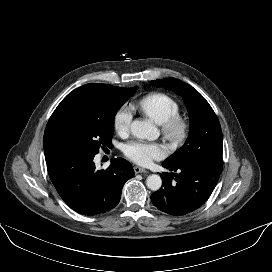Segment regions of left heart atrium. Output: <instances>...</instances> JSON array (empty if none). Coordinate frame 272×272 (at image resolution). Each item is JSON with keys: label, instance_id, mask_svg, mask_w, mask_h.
<instances>
[{"label": "left heart atrium", "instance_id": "39dd6f15", "mask_svg": "<svg viewBox=\"0 0 272 272\" xmlns=\"http://www.w3.org/2000/svg\"><path fill=\"white\" fill-rule=\"evenodd\" d=\"M123 152L127 158L139 165H149L164 157L165 149L158 143L134 141L126 144Z\"/></svg>", "mask_w": 272, "mask_h": 272}]
</instances>
